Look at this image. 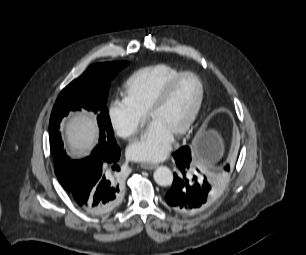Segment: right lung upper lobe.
Masks as SVG:
<instances>
[{
	"mask_svg": "<svg viewBox=\"0 0 306 255\" xmlns=\"http://www.w3.org/2000/svg\"><path fill=\"white\" fill-rule=\"evenodd\" d=\"M67 166H68V168L70 169V167H71V166H70V163H69Z\"/></svg>",
	"mask_w": 306,
	"mask_h": 255,
	"instance_id": "1",
	"label": "right lung upper lobe"
}]
</instances>
